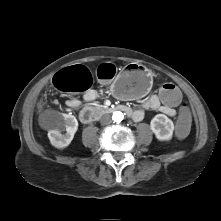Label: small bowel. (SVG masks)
I'll use <instances>...</instances> for the list:
<instances>
[{
    "instance_id": "small-bowel-1",
    "label": "small bowel",
    "mask_w": 221,
    "mask_h": 221,
    "mask_svg": "<svg viewBox=\"0 0 221 221\" xmlns=\"http://www.w3.org/2000/svg\"><path fill=\"white\" fill-rule=\"evenodd\" d=\"M166 84H171V83H166ZM97 97H98V92L94 89L87 90L83 95V99L86 102H92V101L96 100ZM67 106L72 109L78 110L81 107V101L77 98H70L67 101ZM144 110H158L161 113H163L167 116H170V117H174L177 113L176 109H169L163 105V103L159 99V94H154V95H151V96L145 98L142 101V109L134 110L132 112V118L136 122L142 121L145 116Z\"/></svg>"
}]
</instances>
